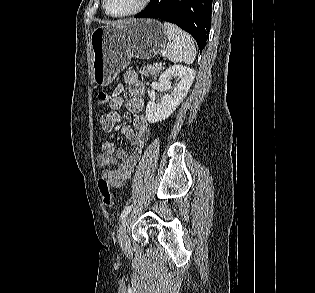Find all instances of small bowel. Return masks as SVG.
<instances>
[{"mask_svg":"<svg viewBox=\"0 0 315 293\" xmlns=\"http://www.w3.org/2000/svg\"><path fill=\"white\" fill-rule=\"evenodd\" d=\"M124 86H127L131 99L123 98ZM145 85L134 71H127L123 75V83L118 85L109 96L110 110L100 118L101 126L106 133L112 132L116 123L121 121V108L125 105L134 115L132 125H124L122 134L134 147L131 153L122 148L116 149L111 141H104L101 152L96 156L95 163L102 169V178L110 187L119 188L129 178L136 162L142 154L143 147L150 137V128L146 117L142 114ZM116 166V168H112Z\"/></svg>","mask_w":315,"mask_h":293,"instance_id":"1","label":"small bowel"}]
</instances>
